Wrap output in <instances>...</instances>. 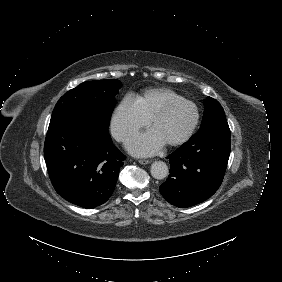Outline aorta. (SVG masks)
Here are the masks:
<instances>
[{
  "instance_id": "762f6f07",
  "label": "aorta",
  "mask_w": 282,
  "mask_h": 282,
  "mask_svg": "<svg viewBox=\"0 0 282 282\" xmlns=\"http://www.w3.org/2000/svg\"><path fill=\"white\" fill-rule=\"evenodd\" d=\"M151 175L153 178L161 180L168 176V166L163 161H155L151 165Z\"/></svg>"
}]
</instances>
